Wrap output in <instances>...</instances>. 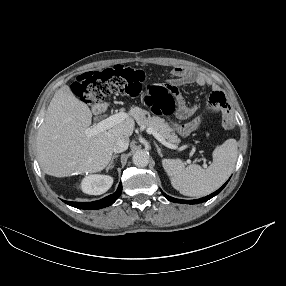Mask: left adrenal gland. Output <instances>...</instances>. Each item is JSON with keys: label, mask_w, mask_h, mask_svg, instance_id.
Masks as SVG:
<instances>
[{"label": "left adrenal gland", "mask_w": 286, "mask_h": 286, "mask_svg": "<svg viewBox=\"0 0 286 286\" xmlns=\"http://www.w3.org/2000/svg\"><path fill=\"white\" fill-rule=\"evenodd\" d=\"M154 144H155V146H156V148H157L158 154H159L161 157H163V153H162L161 148L156 144V142H154Z\"/></svg>", "instance_id": "left-adrenal-gland-1"}]
</instances>
